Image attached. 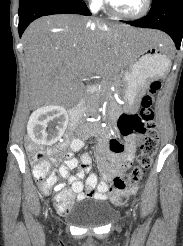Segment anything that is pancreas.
I'll return each instance as SVG.
<instances>
[{
  "mask_svg": "<svg viewBox=\"0 0 183 246\" xmlns=\"http://www.w3.org/2000/svg\"><path fill=\"white\" fill-rule=\"evenodd\" d=\"M102 88H103V85L101 86V89ZM97 102H98V98H97V94H95V95L91 96L89 105H91L92 107H96Z\"/></svg>",
  "mask_w": 183,
  "mask_h": 246,
  "instance_id": "1",
  "label": "pancreas"
}]
</instances>
